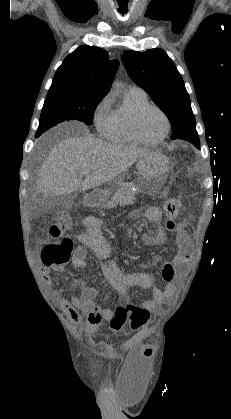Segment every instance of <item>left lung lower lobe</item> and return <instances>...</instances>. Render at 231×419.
I'll return each instance as SVG.
<instances>
[{"instance_id":"obj_1","label":"left lung lower lobe","mask_w":231,"mask_h":419,"mask_svg":"<svg viewBox=\"0 0 231 419\" xmlns=\"http://www.w3.org/2000/svg\"><path fill=\"white\" fill-rule=\"evenodd\" d=\"M197 148H199V144H194Z\"/></svg>"}]
</instances>
